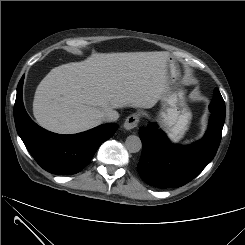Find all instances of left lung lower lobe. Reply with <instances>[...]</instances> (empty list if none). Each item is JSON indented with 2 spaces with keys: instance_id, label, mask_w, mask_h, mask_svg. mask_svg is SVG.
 Here are the masks:
<instances>
[{
  "instance_id": "obj_1",
  "label": "left lung lower lobe",
  "mask_w": 245,
  "mask_h": 245,
  "mask_svg": "<svg viewBox=\"0 0 245 245\" xmlns=\"http://www.w3.org/2000/svg\"><path fill=\"white\" fill-rule=\"evenodd\" d=\"M210 111L205 136L187 147L171 144L155 123L139 128L143 150L137 169L145 183L159 188L181 187L212 161L221 141L225 116Z\"/></svg>"
}]
</instances>
